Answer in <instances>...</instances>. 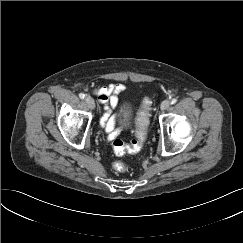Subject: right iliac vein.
<instances>
[{"instance_id": "63e3f726", "label": "right iliac vein", "mask_w": 243, "mask_h": 243, "mask_svg": "<svg viewBox=\"0 0 243 243\" xmlns=\"http://www.w3.org/2000/svg\"><path fill=\"white\" fill-rule=\"evenodd\" d=\"M85 101H86V103H87V105H88V107L90 109H94L95 108V102H94V100H93L92 97L87 96L86 99H85Z\"/></svg>"}]
</instances>
